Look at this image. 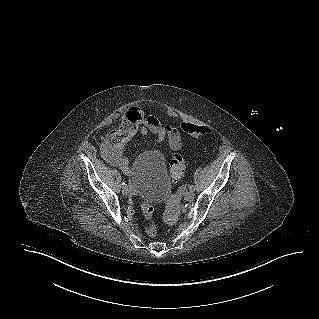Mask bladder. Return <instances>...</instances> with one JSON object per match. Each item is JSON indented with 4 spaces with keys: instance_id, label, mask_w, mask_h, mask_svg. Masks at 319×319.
Segmentation results:
<instances>
[{
    "instance_id": "obj_1",
    "label": "bladder",
    "mask_w": 319,
    "mask_h": 319,
    "mask_svg": "<svg viewBox=\"0 0 319 319\" xmlns=\"http://www.w3.org/2000/svg\"><path fill=\"white\" fill-rule=\"evenodd\" d=\"M130 177L145 202L157 204L170 194L164 155L158 150H148L137 156Z\"/></svg>"
}]
</instances>
